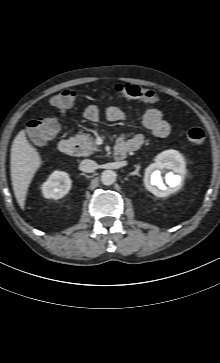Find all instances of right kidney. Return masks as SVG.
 I'll use <instances>...</instances> for the list:
<instances>
[{"instance_id": "obj_1", "label": "right kidney", "mask_w": 220, "mask_h": 363, "mask_svg": "<svg viewBox=\"0 0 220 363\" xmlns=\"http://www.w3.org/2000/svg\"><path fill=\"white\" fill-rule=\"evenodd\" d=\"M72 181L65 172L54 171L48 180L42 185V193L45 198L60 199L71 188Z\"/></svg>"}]
</instances>
